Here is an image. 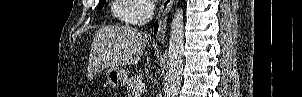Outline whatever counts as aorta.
<instances>
[{"label":"aorta","instance_id":"obj_1","mask_svg":"<svg viewBox=\"0 0 302 97\" xmlns=\"http://www.w3.org/2000/svg\"><path fill=\"white\" fill-rule=\"evenodd\" d=\"M184 21L183 10L177 8L172 19L168 47L165 97H176L183 70Z\"/></svg>","mask_w":302,"mask_h":97}]
</instances>
